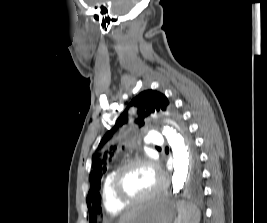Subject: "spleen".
Instances as JSON below:
<instances>
[{"instance_id": "1", "label": "spleen", "mask_w": 267, "mask_h": 223, "mask_svg": "<svg viewBox=\"0 0 267 223\" xmlns=\"http://www.w3.org/2000/svg\"><path fill=\"white\" fill-rule=\"evenodd\" d=\"M178 217L175 223H199L201 212L199 208L190 202L179 201L177 203Z\"/></svg>"}]
</instances>
